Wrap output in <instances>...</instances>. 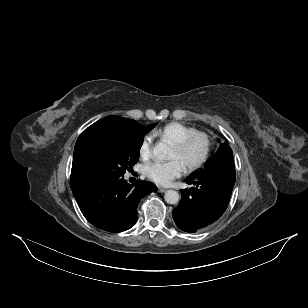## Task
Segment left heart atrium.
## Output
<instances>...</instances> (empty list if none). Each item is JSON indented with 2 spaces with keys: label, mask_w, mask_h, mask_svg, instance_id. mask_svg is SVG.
Here are the masks:
<instances>
[{
  "label": "left heart atrium",
  "mask_w": 308,
  "mask_h": 308,
  "mask_svg": "<svg viewBox=\"0 0 308 308\" xmlns=\"http://www.w3.org/2000/svg\"><path fill=\"white\" fill-rule=\"evenodd\" d=\"M185 168V165L179 159L174 158L168 162L148 164L144 169V173L150 181L166 186L174 179L180 177L184 173Z\"/></svg>",
  "instance_id": "1"
}]
</instances>
